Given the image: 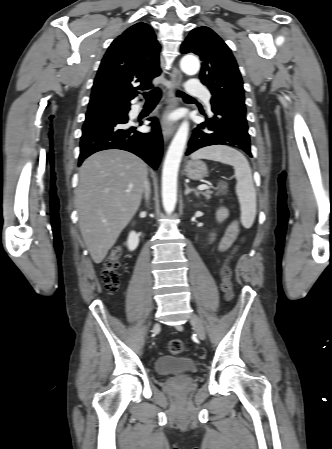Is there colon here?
<instances>
[{"mask_svg":"<svg viewBox=\"0 0 332 449\" xmlns=\"http://www.w3.org/2000/svg\"><path fill=\"white\" fill-rule=\"evenodd\" d=\"M227 183L221 181L218 186L217 194L223 197L227 194ZM123 245H118L112 249L110 254L104 261V268L101 273V282L104 289L108 292H115L120 285L119 270L122 265L121 257L123 253ZM231 268L230 258H227L220 270V276L222 280V290L225 293L227 300L233 298V285L231 282ZM169 352L173 355H180L185 351V346L181 340H172L168 345Z\"/></svg>","mask_w":332,"mask_h":449,"instance_id":"1","label":"colon"}]
</instances>
